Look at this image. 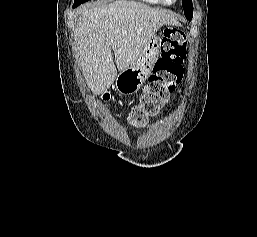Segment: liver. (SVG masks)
<instances>
[{
    "label": "liver",
    "instance_id": "6515ba94",
    "mask_svg": "<svg viewBox=\"0 0 257 237\" xmlns=\"http://www.w3.org/2000/svg\"><path fill=\"white\" fill-rule=\"evenodd\" d=\"M176 24L167 12L133 1L118 0L84 8L74 39L91 91H107L117 77V69L121 72L134 65L158 29Z\"/></svg>",
    "mask_w": 257,
    "mask_h": 237
}]
</instances>
